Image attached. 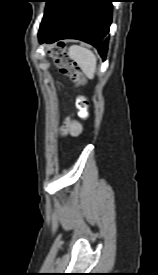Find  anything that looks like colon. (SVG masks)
Masks as SVG:
<instances>
[{
  "label": "colon",
  "mask_w": 158,
  "mask_h": 275,
  "mask_svg": "<svg viewBox=\"0 0 158 275\" xmlns=\"http://www.w3.org/2000/svg\"><path fill=\"white\" fill-rule=\"evenodd\" d=\"M53 57L55 64L63 75L68 76L74 80H79L81 78L78 67L73 62V59L64 46H58L55 48L53 51ZM77 107L80 110V115L85 118L87 116V110L89 107L88 99L85 97H79L77 101Z\"/></svg>",
  "instance_id": "obj_1"
}]
</instances>
